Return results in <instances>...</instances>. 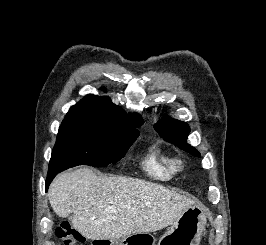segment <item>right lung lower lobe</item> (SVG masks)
Here are the masks:
<instances>
[{
  "label": "right lung lower lobe",
  "mask_w": 266,
  "mask_h": 245,
  "mask_svg": "<svg viewBox=\"0 0 266 245\" xmlns=\"http://www.w3.org/2000/svg\"><path fill=\"white\" fill-rule=\"evenodd\" d=\"M57 173H59V171H57V170L56 171H52V172H48L47 179H46V191L48 189V186H49L50 182L57 175Z\"/></svg>",
  "instance_id": "98d812e1"
}]
</instances>
